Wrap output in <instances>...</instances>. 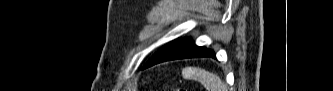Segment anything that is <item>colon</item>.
<instances>
[{"label": "colon", "mask_w": 333, "mask_h": 91, "mask_svg": "<svg viewBox=\"0 0 333 91\" xmlns=\"http://www.w3.org/2000/svg\"><path fill=\"white\" fill-rule=\"evenodd\" d=\"M169 90H171V89H169ZM172 90H175V91H184V89H182V88L172 89Z\"/></svg>", "instance_id": "obj_1"}]
</instances>
